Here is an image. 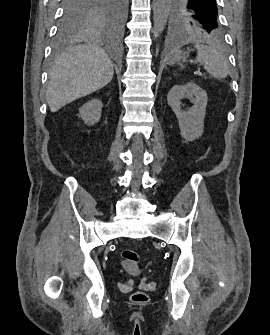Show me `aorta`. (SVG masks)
<instances>
[{
	"instance_id": "aorta-1",
	"label": "aorta",
	"mask_w": 270,
	"mask_h": 335,
	"mask_svg": "<svg viewBox=\"0 0 270 335\" xmlns=\"http://www.w3.org/2000/svg\"><path fill=\"white\" fill-rule=\"evenodd\" d=\"M170 6L171 0H153V32L156 36L163 32L167 24Z\"/></svg>"
}]
</instances>
